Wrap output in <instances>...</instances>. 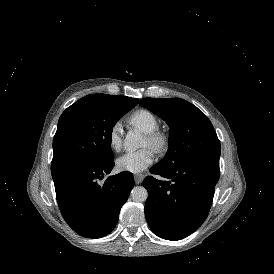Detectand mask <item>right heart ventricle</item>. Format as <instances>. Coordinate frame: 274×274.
Here are the masks:
<instances>
[{
  "label": "right heart ventricle",
  "instance_id": "1",
  "mask_svg": "<svg viewBox=\"0 0 274 274\" xmlns=\"http://www.w3.org/2000/svg\"><path fill=\"white\" fill-rule=\"evenodd\" d=\"M129 122L140 128V130L146 134L155 132L159 127L156 117L147 111L133 114L129 118Z\"/></svg>",
  "mask_w": 274,
  "mask_h": 274
}]
</instances>
